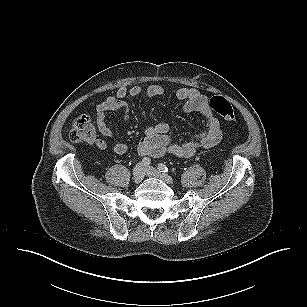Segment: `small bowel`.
<instances>
[{"mask_svg": "<svg viewBox=\"0 0 307 307\" xmlns=\"http://www.w3.org/2000/svg\"><path fill=\"white\" fill-rule=\"evenodd\" d=\"M144 91L140 85L130 88L121 86L114 96L107 97L96 107V120L100 133L105 137H111L113 132L107 123V118L112 112L121 113L127 120L130 117V110L125 101L127 96H138ZM145 93L149 97L163 95L164 89L158 85L149 86ZM178 100L184 102V110L187 113H200L205 117V128L197 133L193 139L183 143H172L168 135L167 125L163 122L149 126L143 138L137 146V152L143 157H160L165 153H171L178 157L190 158L198 149H208L216 146L222 139L220 122L209 106L208 98L199 90L194 88H180L175 92ZM95 145L104 150L107 142L104 139H97ZM128 150L125 142H117L114 145V152L124 154Z\"/></svg>", "mask_w": 307, "mask_h": 307, "instance_id": "1", "label": "small bowel"}]
</instances>
